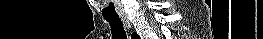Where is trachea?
<instances>
[{
  "instance_id": "3493384b",
  "label": "trachea",
  "mask_w": 263,
  "mask_h": 39,
  "mask_svg": "<svg viewBox=\"0 0 263 39\" xmlns=\"http://www.w3.org/2000/svg\"><path fill=\"white\" fill-rule=\"evenodd\" d=\"M111 27L113 39H127L122 21L120 18H105Z\"/></svg>"
}]
</instances>
